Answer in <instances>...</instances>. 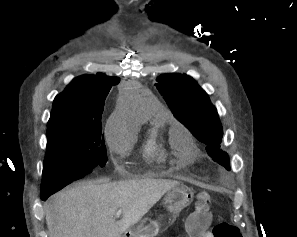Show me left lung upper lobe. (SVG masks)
<instances>
[{
    "label": "left lung upper lobe",
    "mask_w": 297,
    "mask_h": 237,
    "mask_svg": "<svg viewBox=\"0 0 297 237\" xmlns=\"http://www.w3.org/2000/svg\"><path fill=\"white\" fill-rule=\"evenodd\" d=\"M156 80V88L176 119L207 145V153L214 161L229 169V156L220 148L222 125L207 93L186 74H162Z\"/></svg>",
    "instance_id": "left-lung-upper-lobe-1"
}]
</instances>
